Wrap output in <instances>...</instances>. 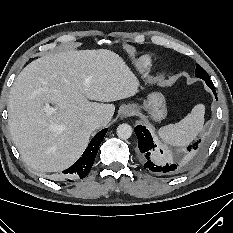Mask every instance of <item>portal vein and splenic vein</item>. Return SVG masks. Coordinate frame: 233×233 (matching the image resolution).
<instances>
[{
	"label": "portal vein and splenic vein",
	"instance_id": "1",
	"mask_svg": "<svg viewBox=\"0 0 233 233\" xmlns=\"http://www.w3.org/2000/svg\"><path fill=\"white\" fill-rule=\"evenodd\" d=\"M44 110H45V112H47L49 114H51L55 111V109L53 107H50V106H46Z\"/></svg>",
	"mask_w": 233,
	"mask_h": 233
}]
</instances>
